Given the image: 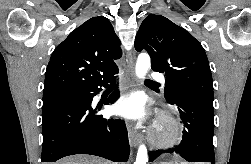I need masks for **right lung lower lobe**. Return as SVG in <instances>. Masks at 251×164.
<instances>
[{
	"instance_id": "98d812e1",
	"label": "right lung lower lobe",
	"mask_w": 251,
	"mask_h": 164,
	"mask_svg": "<svg viewBox=\"0 0 251 164\" xmlns=\"http://www.w3.org/2000/svg\"><path fill=\"white\" fill-rule=\"evenodd\" d=\"M102 83L71 88L65 95L43 100L42 162H55L74 154H90L115 162H127L130 152L127 129L120 119H105L91 108ZM119 97L115 90L105 104Z\"/></svg>"
}]
</instances>
